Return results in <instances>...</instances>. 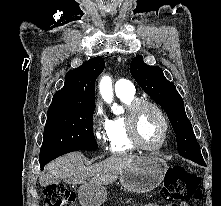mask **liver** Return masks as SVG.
<instances>
[{
  "label": "liver",
  "instance_id": "6515ba94",
  "mask_svg": "<svg viewBox=\"0 0 221 206\" xmlns=\"http://www.w3.org/2000/svg\"><path fill=\"white\" fill-rule=\"evenodd\" d=\"M83 154L79 152L64 155L48 166V173L42 175L39 182L46 186L57 179L73 185L86 184V180L91 177L90 183L96 185H106L114 182L124 169L137 158L134 155H113L102 162L86 167L83 163Z\"/></svg>",
  "mask_w": 221,
  "mask_h": 206
}]
</instances>
